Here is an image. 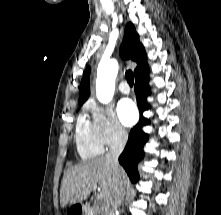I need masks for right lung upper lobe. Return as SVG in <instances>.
I'll use <instances>...</instances> for the list:
<instances>
[{
  "mask_svg": "<svg viewBox=\"0 0 221 215\" xmlns=\"http://www.w3.org/2000/svg\"><path fill=\"white\" fill-rule=\"evenodd\" d=\"M120 52L124 59H132L137 63V67L134 70L135 79L147 74L145 70L147 67L145 49L139 42V36L132 23H128L125 27L124 42ZM89 74L90 67L85 70L81 80L79 103H84L90 95Z\"/></svg>",
  "mask_w": 221,
  "mask_h": 215,
  "instance_id": "cb5924a9",
  "label": "right lung upper lobe"
}]
</instances>
